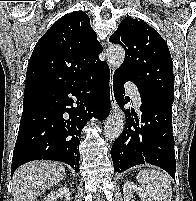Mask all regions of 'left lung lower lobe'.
Segmentation results:
<instances>
[{"label":"left lung lower lobe","mask_w":196,"mask_h":201,"mask_svg":"<svg viewBox=\"0 0 196 201\" xmlns=\"http://www.w3.org/2000/svg\"><path fill=\"white\" fill-rule=\"evenodd\" d=\"M126 81L129 80L114 74V96L121 109L129 101L127 97H124ZM139 93L142 102L141 119H138L134 111L124 110L125 129L111 148L114 172L121 173L139 164H153L167 171L175 180V142L172 134L173 102L159 95L140 90Z\"/></svg>","instance_id":"1"}]
</instances>
